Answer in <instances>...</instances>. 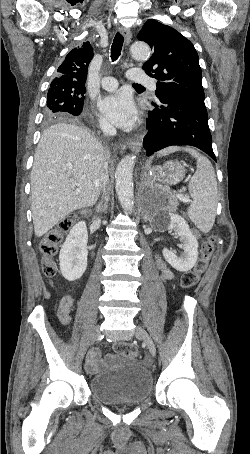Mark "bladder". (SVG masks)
Wrapping results in <instances>:
<instances>
[{
    "label": "bladder",
    "instance_id": "obj_1",
    "mask_svg": "<svg viewBox=\"0 0 250 454\" xmlns=\"http://www.w3.org/2000/svg\"><path fill=\"white\" fill-rule=\"evenodd\" d=\"M153 389L152 376L139 363L121 360L117 368L92 376L89 380L91 394L107 405L139 404Z\"/></svg>",
    "mask_w": 250,
    "mask_h": 454
}]
</instances>
